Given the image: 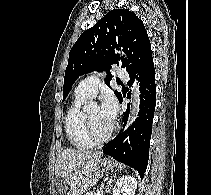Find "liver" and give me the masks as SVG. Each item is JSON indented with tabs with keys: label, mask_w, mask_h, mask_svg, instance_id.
Returning <instances> with one entry per match:
<instances>
[{
	"label": "liver",
	"mask_w": 211,
	"mask_h": 195,
	"mask_svg": "<svg viewBox=\"0 0 211 195\" xmlns=\"http://www.w3.org/2000/svg\"><path fill=\"white\" fill-rule=\"evenodd\" d=\"M102 153L83 149L67 148L57 157L55 175L58 181L69 186L68 195H78L94 184L89 183V176L99 164ZM56 195L64 194L57 190Z\"/></svg>",
	"instance_id": "liver-1"
}]
</instances>
